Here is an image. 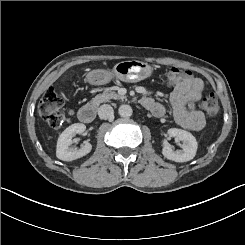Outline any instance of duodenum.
Wrapping results in <instances>:
<instances>
[{
    "label": "duodenum",
    "mask_w": 245,
    "mask_h": 245,
    "mask_svg": "<svg viewBox=\"0 0 245 245\" xmlns=\"http://www.w3.org/2000/svg\"><path fill=\"white\" fill-rule=\"evenodd\" d=\"M79 119L84 123L92 122L96 117V109L93 105L87 104L80 108L78 112Z\"/></svg>",
    "instance_id": "410a0bca"
}]
</instances>
